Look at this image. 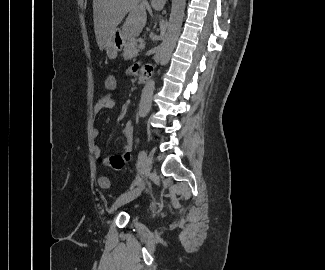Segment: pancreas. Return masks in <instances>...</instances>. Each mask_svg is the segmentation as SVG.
<instances>
[{"label":"pancreas","instance_id":"1","mask_svg":"<svg viewBox=\"0 0 325 270\" xmlns=\"http://www.w3.org/2000/svg\"><path fill=\"white\" fill-rule=\"evenodd\" d=\"M138 49H137V40L135 39H129L124 44V50H123V57L125 60H129L137 56Z\"/></svg>","mask_w":325,"mask_h":270}]
</instances>
